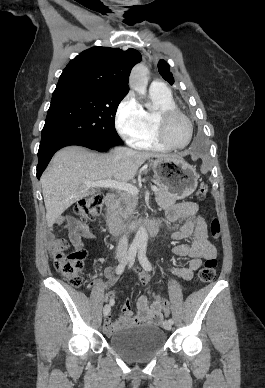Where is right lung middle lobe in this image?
I'll use <instances>...</instances> for the list:
<instances>
[{
	"label": "right lung middle lobe",
	"instance_id": "obj_1",
	"mask_svg": "<svg viewBox=\"0 0 265 388\" xmlns=\"http://www.w3.org/2000/svg\"><path fill=\"white\" fill-rule=\"evenodd\" d=\"M126 94L114 90L53 93L41 141L74 135L100 146L122 145L123 141L115 130L114 116Z\"/></svg>",
	"mask_w": 265,
	"mask_h": 388
}]
</instances>
